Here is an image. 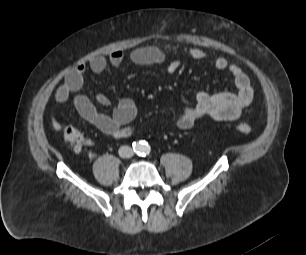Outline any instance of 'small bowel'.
Returning <instances> with one entry per match:
<instances>
[{
	"label": "small bowel",
	"instance_id": "small-bowel-1",
	"mask_svg": "<svg viewBox=\"0 0 306 255\" xmlns=\"http://www.w3.org/2000/svg\"><path fill=\"white\" fill-rule=\"evenodd\" d=\"M184 54L194 60L211 59L219 71H227L233 78L236 91L209 94L199 92L193 105L181 108L176 119V126L187 130L205 117L217 121H234L241 117L243 110L252 102L254 91L248 74L237 64L230 63L223 56L211 57L200 48H187ZM126 59L136 65H162L166 54L156 46L140 47L126 55L122 50H113L107 57L95 56L87 63H79L66 74L64 81L57 88L55 99L59 104L72 101L78 114L102 133L116 139L125 138L132 134L130 123L138 114L136 103L130 98H122L110 113L99 112L95 105L84 95L78 94L83 86L84 75L88 69L101 73L108 66L119 67ZM181 67L179 59H173L167 66L169 74L175 73ZM97 102L108 106L110 99L105 94L97 96ZM51 125L55 130L61 129V123L52 118Z\"/></svg>",
	"mask_w": 306,
	"mask_h": 255
}]
</instances>
